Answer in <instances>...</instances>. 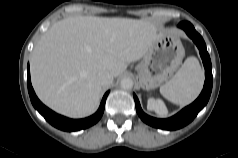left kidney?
<instances>
[{
	"mask_svg": "<svg viewBox=\"0 0 238 158\" xmlns=\"http://www.w3.org/2000/svg\"><path fill=\"white\" fill-rule=\"evenodd\" d=\"M147 108L149 110L155 111L157 114H159L161 116H165L167 114V108H166L165 104L163 103V101H161L159 99H157V100L149 99Z\"/></svg>",
	"mask_w": 238,
	"mask_h": 158,
	"instance_id": "5707ae66",
	"label": "left kidney"
}]
</instances>
